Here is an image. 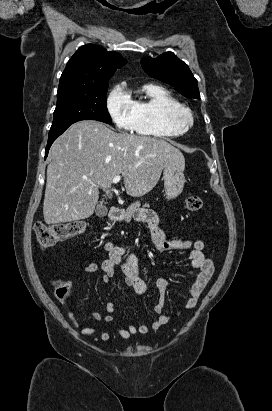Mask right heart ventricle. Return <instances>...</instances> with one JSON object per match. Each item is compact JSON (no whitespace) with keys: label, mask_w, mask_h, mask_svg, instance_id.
<instances>
[{"label":"right heart ventricle","mask_w":272,"mask_h":411,"mask_svg":"<svg viewBox=\"0 0 272 411\" xmlns=\"http://www.w3.org/2000/svg\"><path fill=\"white\" fill-rule=\"evenodd\" d=\"M132 102L135 115L132 130L137 134L155 138H172L184 133L174 128L168 117L172 111L188 109L166 88L148 84L143 88L142 96L132 99Z\"/></svg>","instance_id":"obj_1"}]
</instances>
